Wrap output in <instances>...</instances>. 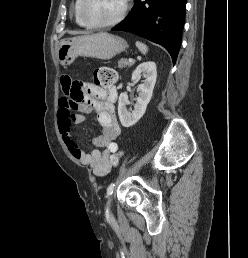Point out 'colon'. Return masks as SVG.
Here are the masks:
<instances>
[{
	"label": "colon",
	"instance_id": "obj_1",
	"mask_svg": "<svg viewBox=\"0 0 248 258\" xmlns=\"http://www.w3.org/2000/svg\"><path fill=\"white\" fill-rule=\"evenodd\" d=\"M93 77L97 84H100L103 87H109L116 82L117 73L115 70L110 68H101L94 73ZM77 90L79 92V95H75L74 97L75 99H80L83 94L82 92L83 86L80 83L77 84ZM121 157H122V152H119L113 155L112 157L113 166H116L118 164Z\"/></svg>",
	"mask_w": 248,
	"mask_h": 258
}]
</instances>
